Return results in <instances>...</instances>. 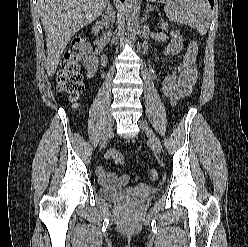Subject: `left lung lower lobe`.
<instances>
[{"instance_id": "0a47b994", "label": "left lung lower lobe", "mask_w": 248, "mask_h": 247, "mask_svg": "<svg viewBox=\"0 0 248 247\" xmlns=\"http://www.w3.org/2000/svg\"><path fill=\"white\" fill-rule=\"evenodd\" d=\"M211 7L213 8L214 0H209Z\"/></svg>"}]
</instances>
